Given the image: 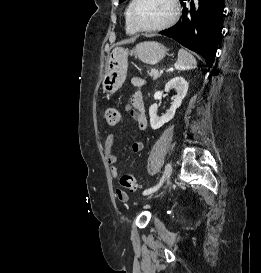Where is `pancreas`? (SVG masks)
Returning a JSON list of instances; mask_svg holds the SVG:
<instances>
[{"label": "pancreas", "instance_id": "1", "mask_svg": "<svg viewBox=\"0 0 261 273\" xmlns=\"http://www.w3.org/2000/svg\"><path fill=\"white\" fill-rule=\"evenodd\" d=\"M148 75L153 77L154 80L158 79L161 76V73L157 69H151L148 71Z\"/></svg>", "mask_w": 261, "mask_h": 273}]
</instances>
